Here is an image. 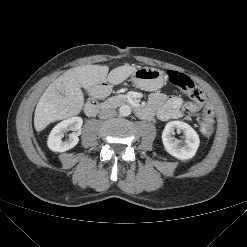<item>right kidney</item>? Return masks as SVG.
<instances>
[{
    "label": "right kidney",
    "instance_id": "right-kidney-1",
    "mask_svg": "<svg viewBox=\"0 0 247 247\" xmlns=\"http://www.w3.org/2000/svg\"><path fill=\"white\" fill-rule=\"evenodd\" d=\"M82 124L83 120L78 116L68 118L57 124L47 140L49 149L54 152H65L75 147L79 142L78 136L81 134ZM69 130L73 131L72 134L69 135V139L63 141L64 134Z\"/></svg>",
    "mask_w": 247,
    "mask_h": 247
}]
</instances>
